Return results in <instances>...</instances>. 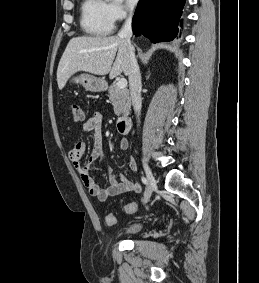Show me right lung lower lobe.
I'll return each instance as SVG.
<instances>
[{
    "label": "right lung lower lobe",
    "instance_id": "98d812e1",
    "mask_svg": "<svg viewBox=\"0 0 259 283\" xmlns=\"http://www.w3.org/2000/svg\"><path fill=\"white\" fill-rule=\"evenodd\" d=\"M185 0H140L132 20L133 33L153 43L171 41L178 35V24Z\"/></svg>",
    "mask_w": 259,
    "mask_h": 283
}]
</instances>
